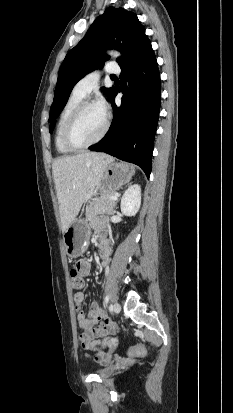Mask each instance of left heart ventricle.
Returning a JSON list of instances; mask_svg holds the SVG:
<instances>
[{
    "mask_svg": "<svg viewBox=\"0 0 233 413\" xmlns=\"http://www.w3.org/2000/svg\"><path fill=\"white\" fill-rule=\"evenodd\" d=\"M105 115L98 105L82 111L71 130V139L76 144H85L97 138L103 130Z\"/></svg>",
    "mask_w": 233,
    "mask_h": 413,
    "instance_id": "b2bd125f",
    "label": "left heart ventricle"
}]
</instances>
